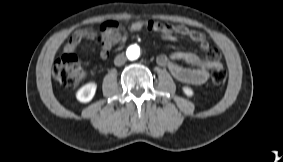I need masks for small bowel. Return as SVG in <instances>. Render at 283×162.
Masks as SVG:
<instances>
[{"mask_svg":"<svg viewBox=\"0 0 283 162\" xmlns=\"http://www.w3.org/2000/svg\"><path fill=\"white\" fill-rule=\"evenodd\" d=\"M152 31L158 33L162 39L167 41H176L177 36H185L199 44L200 48L207 52L206 57H200L193 52L176 51L170 56L159 55L157 63L167 67L172 76L186 84L201 85L208 79L210 72L218 67H222L219 60V52L210 48L204 33L190 29L184 25H170L156 21H134L118 23L115 21H107L102 26L101 51L100 57L107 59L112 48L115 45L123 44L127 40L129 33ZM96 38V32L92 29L76 30L69 38L64 47L66 54H73L83 39L93 40ZM183 61L192 67H185L179 64Z\"/></svg>","mask_w":283,"mask_h":162,"instance_id":"1","label":"small bowel"}]
</instances>
